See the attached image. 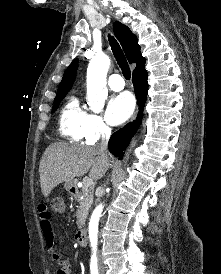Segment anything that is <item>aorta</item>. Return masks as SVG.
Masks as SVG:
<instances>
[{
	"instance_id": "762f6f07",
	"label": "aorta",
	"mask_w": 221,
	"mask_h": 274,
	"mask_svg": "<svg viewBox=\"0 0 221 274\" xmlns=\"http://www.w3.org/2000/svg\"><path fill=\"white\" fill-rule=\"evenodd\" d=\"M110 66L107 56L93 58L87 69V102L91 109L100 111L106 99V76ZM103 205L100 204L92 213L89 222V240L93 251L97 248L98 223Z\"/></svg>"
}]
</instances>
